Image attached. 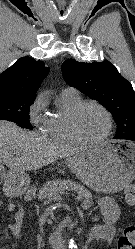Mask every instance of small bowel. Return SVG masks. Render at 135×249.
<instances>
[{
	"label": "small bowel",
	"instance_id": "c3829d8e",
	"mask_svg": "<svg viewBox=\"0 0 135 249\" xmlns=\"http://www.w3.org/2000/svg\"><path fill=\"white\" fill-rule=\"evenodd\" d=\"M99 206L101 208L102 221L94 225L91 235L96 239L111 241L114 234L113 224L118 220L120 216L119 207L110 197L101 198L99 201ZM7 209L8 211H16L15 221L10 225V228L14 235L20 236L21 224L25 217L24 209L21 207L17 208L16 204H14L13 202L7 204Z\"/></svg>",
	"mask_w": 135,
	"mask_h": 249
}]
</instances>
